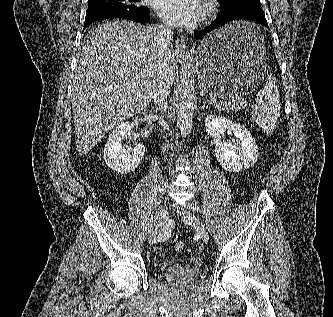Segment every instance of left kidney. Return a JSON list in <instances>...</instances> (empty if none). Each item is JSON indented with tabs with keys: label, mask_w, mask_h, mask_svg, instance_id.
Masks as SVG:
<instances>
[{
	"label": "left kidney",
	"mask_w": 333,
	"mask_h": 317,
	"mask_svg": "<svg viewBox=\"0 0 333 317\" xmlns=\"http://www.w3.org/2000/svg\"><path fill=\"white\" fill-rule=\"evenodd\" d=\"M205 128L207 134L216 139L215 156L223 169L239 172L254 166L258 158V146L243 125L225 116L212 114L205 118ZM226 131L237 138V143L221 141ZM238 141L241 142L240 146Z\"/></svg>",
	"instance_id": "obj_1"
}]
</instances>
